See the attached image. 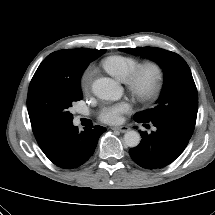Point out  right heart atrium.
I'll return each instance as SVG.
<instances>
[{
    "label": "right heart atrium",
    "instance_id": "obj_1",
    "mask_svg": "<svg viewBox=\"0 0 215 215\" xmlns=\"http://www.w3.org/2000/svg\"><path fill=\"white\" fill-rule=\"evenodd\" d=\"M92 80V72H86L81 78V88L84 92H87L90 88Z\"/></svg>",
    "mask_w": 215,
    "mask_h": 215
}]
</instances>
